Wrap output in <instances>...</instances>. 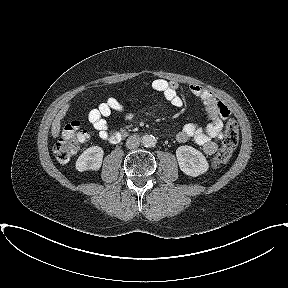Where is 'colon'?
I'll return each instance as SVG.
<instances>
[{"label": "colon", "mask_w": 288, "mask_h": 288, "mask_svg": "<svg viewBox=\"0 0 288 288\" xmlns=\"http://www.w3.org/2000/svg\"><path fill=\"white\" fill-rule=\"evenodd\" d=\"M226 129L222 138V146L212 158V166L219 167L227 163L239 142V128L235 119L226 117ZM89 134L78 121L67 124L55 143L54 152L57 160L66 163L77 152L79 144L85 142Z\"/></svg>", "instance_id": "5ec220e1"}]
</instances>
